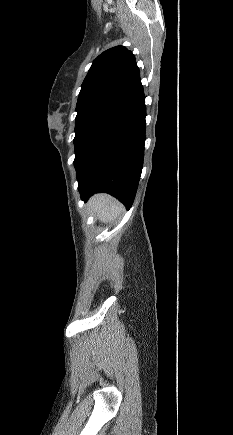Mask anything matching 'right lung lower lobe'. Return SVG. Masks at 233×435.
Segmentation results:
<instances>
[{"instance_id":"98d812e1","label":"right lung lower lobe","mask_w":233,"mask_h":435,"mask_svg":"<svg viewBox=\"0 0 233 435\" xmlns=\"http://www.w3.org/2000/svg\"><path fill=\"white\" fill-rule=\"evenodd\" d=\"M145 98L125 114L77 166L78 189L86 201L105 192L127 209L133 203L143 167Z\"/></svg>"}]
</instances>
